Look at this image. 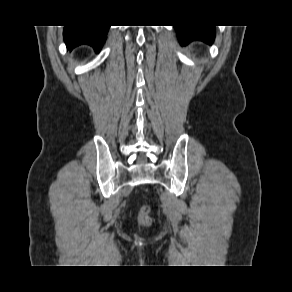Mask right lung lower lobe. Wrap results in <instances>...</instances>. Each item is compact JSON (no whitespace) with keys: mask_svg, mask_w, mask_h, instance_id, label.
I'll return each instance as SVG.
<instances>
[{"mask_svg":"<svg viewBox=\"0 0 292 292\" xmlns=\"http://www.w3.org/2000/svg\"><path fill=\"white\" fill-rule=\"evenodd\" d=\"M109 27L107 25L65 26L63 35L67 48L72 50L79 45L87 44L99 52L106 40Z\"/></svg>","mask_w":292,"mask_h":292,"instance_id":"right-lung-lower-lobe-1","label":"right lung lower lobe"}]
</instances>
